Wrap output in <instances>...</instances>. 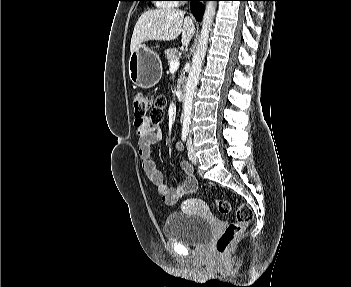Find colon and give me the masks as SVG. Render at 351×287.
Returning <instances> with one entry per match:
<instances>
[{
	"label": "colon",
	"instance_id": "obj_1",
	"mask_svg": "<svg viewBox=\"0 0 351 287\" xmlns=\"http://www.w3.org/2000/svg\"><path fill=\"white\" fill-rule=\"evenodd\" d=\"M136 120H149L153 124L163 119L165 98L162 95H151L141 91L134 92L132 96ZM216 207L221 214H229L231 205L226 200H217ZM253 218V210L247 204L237 207L235 220L230 222L215 242L218 253H224L232 242L244 231Z\"/></svg>",
	"mask_w": 351,
	"mask_h": 287
}]
</instances>
